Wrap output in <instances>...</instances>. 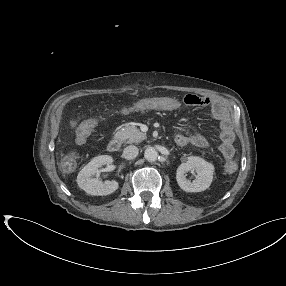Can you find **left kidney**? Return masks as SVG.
<instances>
[{
    "mask_svg": "<svg viewBox=\"0 0 286 286\" xmlns=\"http://www.w3.org/2000/svg\"><path fill=\"white\" fill-rule=\"evenodd\" d=\"M196 172V179H186V173ZM214 166L203 158L190 156L176 171V180L181 189L186 192H201L209 188L213 179Z\"/></svg>",
    "mask_w": 286,
    "mask_h": 286,
    "instance_id": "5707ae66",
    "label": "left kidney"
}]
</instances>
